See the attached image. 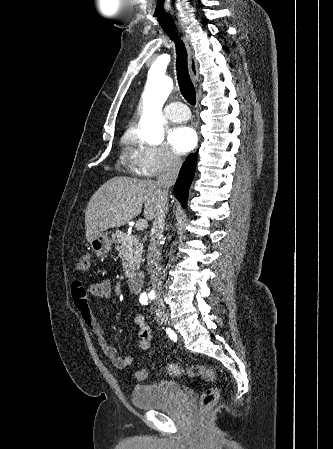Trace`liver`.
Wrapping results in <instances>:
<instances>
[{"label":"liver","mask_w":333,"mask_h":449,"mask_svg":"<svg viewBox=\"0 0 333 449\" xmlns=\"http://www.w3.org/2000/svg\"><path fill=\"white\" fill-rule=\"evenodd\" d=\"M162 199L163 191L156 181H139L129 177L108 180L93 194L87 205V241L109 228L130 222L142 212L143 204L144 217L154 219Z\"/></svg>","instance_id":"obj_1"}]
</instances>
